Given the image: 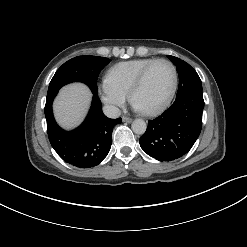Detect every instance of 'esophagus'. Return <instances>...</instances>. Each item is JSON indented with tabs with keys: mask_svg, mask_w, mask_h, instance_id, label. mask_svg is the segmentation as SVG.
I'll use <instances>...</instances> for the list:
<instances>
[{
	"mask_svg": "<svg viewBox=\"0 0 247 247\" xmlns=\"http://www.w3.org/2000/svg\"><path fill=\"white\" fill-rule=\"evenodd\" d=\"M122 120H123V122H127V123H131L132 122V119L129 118V117H123Z\"/></svg>",
	"mask_w": 247,
	"mask_h": 247,
	"instance_id": "34e87169",
	"label": "esophagus"
}]
</instances>
